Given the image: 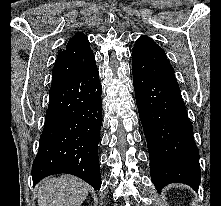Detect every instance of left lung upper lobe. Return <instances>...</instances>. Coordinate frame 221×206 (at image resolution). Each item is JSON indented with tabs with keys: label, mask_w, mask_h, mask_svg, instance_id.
Returning <instances> with one entry per match:
<instances>
[{
	"label": "left lung upper lobe",
	"mask_w": 221,
	"mask_h": 206,
	"mask_svg": "<svg viewBox=\"0 0 221 206\" xmlns=\"http://www.w3.org/2000/svg\"><path fill=\"white\" fill-rule=\"evenodd\" d=\"M133 72L162 79L175 80L174 70L163 49L150 37L141 36L132 52Z\"/></svg>",
	"instance_id": "obj_1"
}]
</instances>
